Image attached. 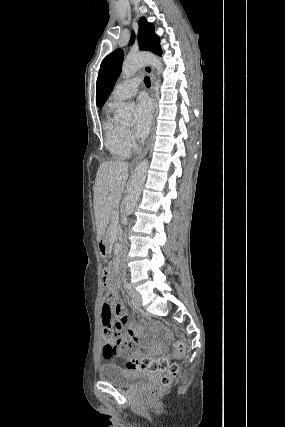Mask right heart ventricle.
<instances>
[{"mask_svg": "<svg viewBox=\"0 0 285 427\" xmlns=\"http://www.w3.org/2000/svg\"><path fill=\"white\" fill-rule=\"evenodd\" d=\"M117 104L109 103L105 109V147L115 159L127 158L133 147L126 140V128L112 116Z\"/></svg>", "mask_w": 285, "mask_h": 427, "instance_id": "right-heart-ventricle-1", "label": "right heart ventricle"}]
</instances>
